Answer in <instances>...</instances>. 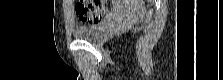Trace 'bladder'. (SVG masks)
Here are the masks:
<instances>
[{"instance_id": "1", "label": "bladder", "mask_w": 223, "mask_h": 80, "mask_svg": "<svg viewBox=\"0 0 223 80\" xmlns=\"http://www.w3.org/2000/svg\"><path fill=\"white\" fill-rule=\"evenodd\" d=\"M105 28L106 22L89 26H76L73 30V36L76 39L95 41L103 35Z\"/></svg>"}]
</instances>
